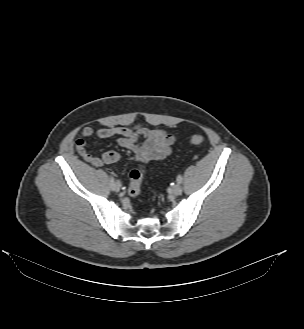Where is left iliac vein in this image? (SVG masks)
Returning <instances> with one entry per match:
<instances>
[{
    "instance_id": "4c4485c4",
    "label": "left iliac vein",
    "mask_w": 304,
    "mask_h": 329,
    "mask_svg": "<svg viewBox=\"0 0 304 329\" xmlns=\"http://www.w3.org/2000/svg\"><path fill=\"white\" fill-rule=\"evenodd\" d=\"M182 193V187L179 183L175 184L173 187H172V194L178 196Z\"/></svg>"
}]
</instances>
